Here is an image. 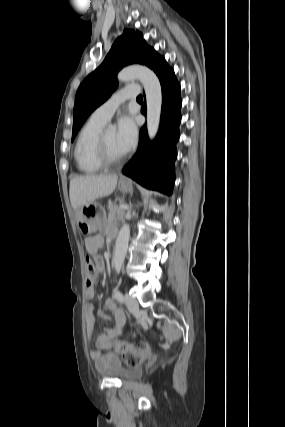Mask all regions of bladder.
<instances>
[{
  "instance_id": "31cf9c89",
  "label": "bladder",
  "mask_w": 285,
  "mask_h": 427,
  "mask_svg": "<svg viewBox=\"0 0 285 427\" xmlns=\"http://www.w3.org/2000/svg\"><path fill=\"white\" fill-rule=\"evenodd\" d=\"M102 374L107 377L118 378L122 380H133L139 378L142 375V368L138 365L132 367H123L120 363H118L105 369Z\"/></svg>"
}]
</instances>
